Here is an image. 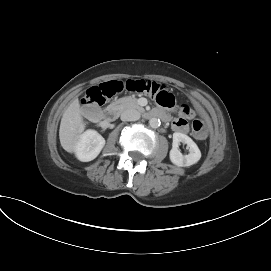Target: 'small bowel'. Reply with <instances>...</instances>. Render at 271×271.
Instances as JSON below:
<instances>
[{"instance_id": "obj_1", "label": "small bowel", "mask_w": 271, "mask_h": 271, "mask_svg": "<svg viewBox=\"0 0 271 271\" xmlns=\"http://www.w3.org/2000/svg\"><path fill=\"white\" fill-rule=\"evenodd\" d=\"M172 128L179 133H187L188 132V123L184 118H177L172 122Z\"/></svg>"}]
</instances>
